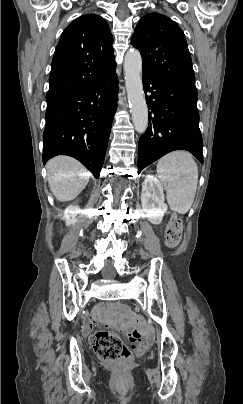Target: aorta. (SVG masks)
Segmentation results:
<instances>
[{
    "label": "aorta",
    "mask_w": 243,
    "mask_h": 404,
    "mask_svg": "<svg viewBox=\"0 0 243 404\" xmlns=\"http://www.w3.org/2000/svg\"><path fill=\"white\" fill-rule=\"evenodd\" d=\"M125 86L129 106L131 108L132 122L138 134H144L148 126V110L143 92L141 74L142 58L138 50L131 48L125 54L124 60Z\"/></svg>",
    "instance_id": "1"
}]
</instances>
